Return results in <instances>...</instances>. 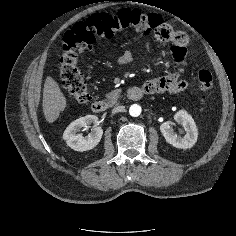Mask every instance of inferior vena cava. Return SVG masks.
<instances>
[{
  "label": "inferior vena cava",
  "instance_id": "inferior-vena-cava-1",
  "mask_svg": "<svg viewBox=\"0 0 236 236\" xmlns=\"http://www.w3.org/2000/svg\"><path fill=\"white\" fill-rule=\"evenodd\" d=\"M124 111H125V106H117L113 108L112 113L115 114V113L124 112Z\"/></svg>",
  "mask_w": 236,
  "mask_h": 236
}]
</instances>
